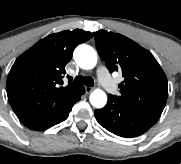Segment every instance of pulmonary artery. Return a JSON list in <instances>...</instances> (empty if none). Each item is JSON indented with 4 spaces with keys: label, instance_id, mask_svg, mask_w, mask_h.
<instances>
[{
    "label": "pulmonary artery",
    "instance_id": "pulmonary-artery-1",
    "mask_svg": "<svg viewBox=\"0 0 181 164\" xmlns=\"http://www.w3.org/2000/svg\"><path fill=\"white\" fill-rule=\"evenodd\" d=\"M98 76H99V80H100L101 84L103 85V87L108 90L110 88V84L107 81L105 71L104 70H100L98 72Z\"/></svg>",
    "mask_w": 181,
    "mask_h": 164
}]
</instances>
